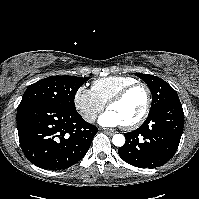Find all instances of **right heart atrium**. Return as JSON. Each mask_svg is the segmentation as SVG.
<instances>
[{
    "label": "right heart atrium",
    "mask_w": 199,
    "mask_h": 199,
    "mask_svg": "<svg viewBox=\"0 0 199 199\" xmlns=\"http://www.w3.org/2000/svg\"><path fill=\"white\" fill-rule=\"evenodd\" d=\"M74 104L83 119L89 123H93L104 109V104L85 86L77 89L74 95Z\"/></svg>",
    "instance_id": "d8ad5b80"
}]
</instances>
